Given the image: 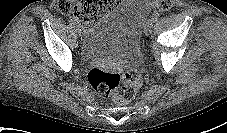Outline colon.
Instances as JSON below:
<instances>
[{
	"label": "colon",
	"mask_w": 227,
	"mask_h": 133,
	"mask_svg": "<svg viewBox=\"0 0 227 133\" xmlns=\"http://www.w3.org/2000/svg\"><path fill=\"white\" fill-rule=\"evenodd\" d=\"M119 0H59L58 8L66 15H73L82 25L95 24L106 12L113 9ZM160 10L172 7V0H153ZM88 81L101 96L111 98L119 105L132 101L142 86V76L138 69L130 68L124 73L108 72L93 68L88 73Z\"/></svg>",
	"instance_id": "colon-1"
}]
</instances>
